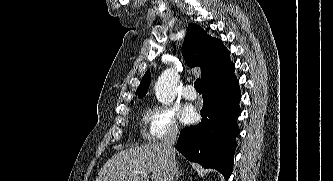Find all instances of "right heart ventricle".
Here are the masks:
<instances>
[{"instance_id": "obj_1", "label": "right heart ventricle", "mask_w": 333, "mask_h": 181, "mask_svg": "<svg viewBox=\"0 0 333 181\" xmlns=\"http://www.w3.org/2000/svg\"><path fill=\"white\" fill-rule=\"evenodd\" d=\"M149 114H150V112H149L148 110H145V111L143 112V117H144L145 119H147L148 116H149Z\"/></svg>"}]
</instances>
